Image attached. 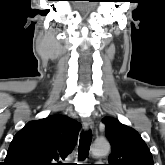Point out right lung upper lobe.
I'll list each match as a JSON object with an SVG mask.
<instances>
[{
	"mask_svg": "<svg viewBox=\"0 0 165 165\" xmlns=\"http://www.w3.org/2000/svg\"><path fill=\"white\" fill-rule=\"evenodd\" d=\"M81 125L64 115L28 122L13 138L3 165H58L72 152Z\"/></svg>",
	"mask_w": 165,
	"mask_h": 165,
	"instance_id": "right-lung-upper-lobe-1",
	"label": "right lung upper lobe"
}]
</instances>
